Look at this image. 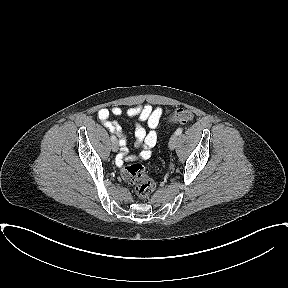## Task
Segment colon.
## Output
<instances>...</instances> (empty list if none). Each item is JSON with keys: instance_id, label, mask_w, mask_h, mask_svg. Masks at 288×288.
<instances>
[{"instance_id": "obj_1", "label": "colon", "mask_w": 288, "mask_h": 288, "mask_svg": "<svg viewBox=\"0 0 288 288\" xmlns=\"http://www.w3.org/2000/svg\"><path fill=\"white\" fill-rule=\"evenodd\" d=\"M169 119L172 123L187 124L193 120V113L180 108L171 113ZM121 175L126 182L135 184V193L141 199L149 198L155 190V183L148 177L142 164L132 163L124 166Z\"/></svg>"}]
</instances>
